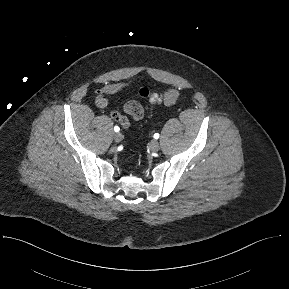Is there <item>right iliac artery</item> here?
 Listing matches in <instances>:
<instances>
[{"label":"right iliac artery","mask_w":289,"mask_h":289,"mask_svg":"<svg viewBox=\"0 0 289 289\" xmlns=\"http://www.w3.org/2000/svg\"><path fill=\"white\" fill-rule=\"evenodd\" d=\"M119 130H120V128H119L118 126H115V127H114V131H115V132H119Z\"/></svg>","instance_id":"82829eb1"}]
</instances>
